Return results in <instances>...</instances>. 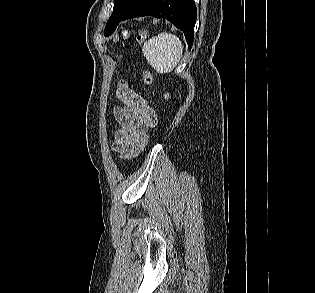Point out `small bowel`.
<instances>
[{
	"label": "small bowel",
	"mask_w": 315,
	"mask_h": 293,
	"mask_svg": "<svg viewBox=\"0 0 315 293\" xmlns=\"http://www.w3.org/2000/svg\"><path fill=\"white\" fill-rule=\"evenodd\" d=\"M117 97L124 106L114 108L118 129L114 133L112 149L122 158H129L137 153L146 132L155 125L156 114L148 102L132 90L129 94L117 93Z\"/></svg>",
	"instance_id": "obj_1"
}]
</instances>
